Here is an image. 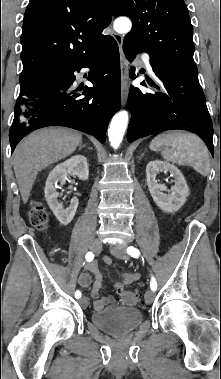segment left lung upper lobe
<instances>
[{
	"label": "left lung upper lobe",
	"mask_w": 221,
	"mask_h": 379,
	"mask_svg": "<svg viewBox=\"0 0 221 379\" xmlns=\"http://www.w3.org/2000/svg\"><path fill=\"white\" fill-rule=\"evenodd\" d=\"M115 17L133 22L125 39L135 41L153 58L197 72L193 60V28L183 0H112Z\"/></svg>",
	"instance_id": "1"
}]
</instances>
